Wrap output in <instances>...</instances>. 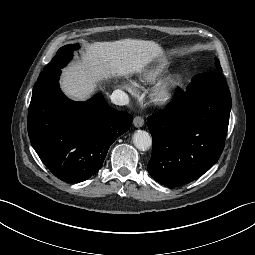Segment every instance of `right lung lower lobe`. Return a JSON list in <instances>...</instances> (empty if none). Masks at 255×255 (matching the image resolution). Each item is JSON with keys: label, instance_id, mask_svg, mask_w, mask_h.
<instances>
[{"label": "right lung lower lobe", "instance_id": "obj_1", "mask_svg": "<svg viewBox=\"0 0 255 255\" xmlns=\"http://www.w3.org/2000/svg\"><path fill=\"white\" fill-rule=\"evenodd\" d=\"M60 68L40 73L28 113L31 144L59 179L79 183L102 166L110 145L131 126L132 116L110 107L97 94L74 102L60 90Z\"/></svg>", "mask_w": 255, "mask_h": 255}]
</instances>
